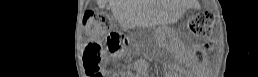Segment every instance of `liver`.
Returning a JSON list of instances; mask_svg holds the SVG:
<instances>
[{
  "mask_svg": "<svg viewBox=\"0 0 258 77\" xmlns=\"http://www.w3.org/2000/svg\"><path fill=\"white\" fill-rule=\"evenodd\" d=\"M106 0H97L104 6ZM159 1L147 0H109V5L115 16L125 27L133 25H153L165 21L167 14L158 5Z\"/></svg>",
  "mask_w": 258,
  "mask_h": 77,
  "instance_id": "1",
  "label": "liver"
}]
</instances>
